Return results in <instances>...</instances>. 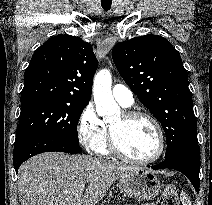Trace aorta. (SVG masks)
I'll return each mask as SVG.
<instances>
[{
  "mask_svg": "<svg viewBox=\"0 0 212 205\" xmlns=\"http://www.w3.org/2000/svg\"><path fill=\"white\" fill-rule=\"evenodd\" d=\"M112 76L109 70H100L94 78L93 97L100 116H109L118 110L112 91Z\"/></svg>",
  "mask_w": 212,
  "mask_h": 205,
  "instance_id": "762f6f07",
  "label": "aorta"
}]
</instances>
